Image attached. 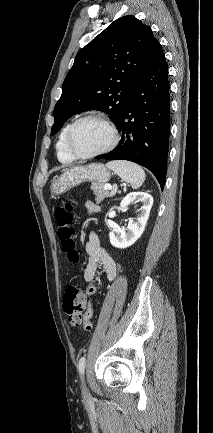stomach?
I'll return each instance as SVG.
<instances>
[{
    "label": "stomach",
    "instance_id": "obj_1",
    "mask_svg": "<svg viewBox=\"0 0 213 433\" xmlns=\"http://www.w3.org/2000/svg\"><path fill=\"white\" fill-rule=\"evenodd\" d=\"M110 176V171L101 163L71 167L51 183L50 192L60 195L86 181L103 185L109 181Z\"/></svg>",
    "mask_w": 213,
    "mask_h": 433
}]
</instances>
